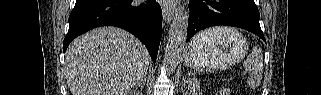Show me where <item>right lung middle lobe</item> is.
I'll return each mask as SVG.
<instances>
[{"instance_id":"1","label":"right lung middle lobe","mask_w":321,"mask_h":95,"mask_svg":"<svg viewBox=\"0 0 321 95\" xmlns=\"http://www.w3.org/2000/svg\"><path fill=\"white\" fill-rule=\"evenodd\" d=\"M81 1H84V0H76V2H81Z\"/></svg>"}]
</instances>
